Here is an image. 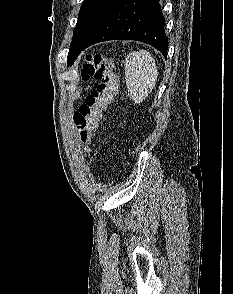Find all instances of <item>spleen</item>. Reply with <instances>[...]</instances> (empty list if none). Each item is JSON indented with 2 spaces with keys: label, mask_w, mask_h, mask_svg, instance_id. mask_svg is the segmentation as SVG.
Instances as JSON below:
<instances>
[{
  "label": "spleen",
  "mask_w": 233,
  "mask_h": 294,
  "mask_svg": "<svg viewBox=\"0 0 233 294\" xmlns=\"http://www.w3.org/2000/svg\"><path fill=\"white\" fill-rule=\"evenodd\" d=\"M158 70L152 55L146 50L133 51L126 57L125 80L135 104L142 103L155 87Z\"/></svg>",
  "instance_id": "3e777b00"
}]
</instances>
